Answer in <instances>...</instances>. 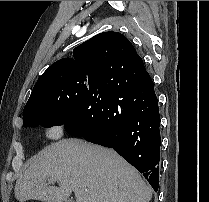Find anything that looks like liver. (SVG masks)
<instances>
[{
  "mask_svg": "<svg viewBox=\"0 0 209 202\" xmlns=\"http://www.w3.org/2000/svg\"><path fill=\"white\" fill-rule=\"evenodd\" d=\"M55 178L59 187L49 186ZM149 202L151 188L140 174L111 149L80 139H63L45 147L17 179L18 201Z\"/></svg>",
  "mask_w": 209,
  "mask_h": 202,
  "instance_id": "6515ba94",
  "label": "liver"
}]
</instances>
